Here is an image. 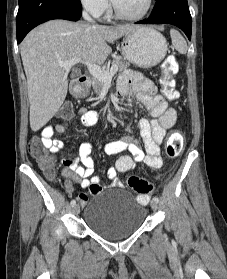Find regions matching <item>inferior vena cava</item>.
I'll return each instance as SVG.
<instances>
[{
  "mask_svg": "<svg viewBox=\"0 0 227 279\" xmlns=\"http://www.w3.org/2000/svg\"><path fill=\"white\" fill-rule=\"evenodd\" d=\"M82 16H83V18H84L86 21L93 22V20H92V18L90 17V15L88 14V11H87V10H84V11H83Z\"/></svg>",
  "mask_w": 227,
  "mask_h": 279,
  "instance_id": "inferior-vena-cava-1",
  "label": "inferior vena cava"
}]
</instances>
